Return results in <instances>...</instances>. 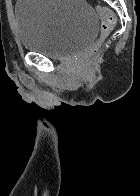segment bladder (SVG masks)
<instances>
[{
	"instance_id": "bladder-1",
	"label": "bladder",
	"mask_w": 140,
	"mask_h": 196,
	"mask_svg": "<svg viewBox=\"0 0 140 196\" xmlns=\"http://www.w3.org/2000/svg\"><path fill=\"white\" fill-rule=\"evenodd\" d=\"M14 16L22 47L55 60L86 50L98 32V13L84 0H17Z\"/></svg>"
}]
</instances>
